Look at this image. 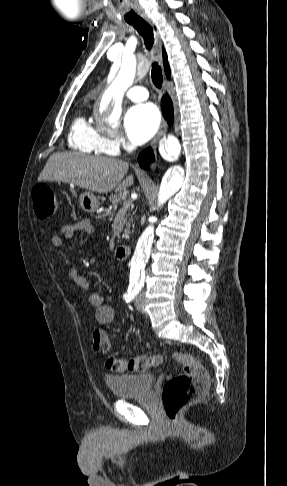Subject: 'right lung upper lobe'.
Here are the masks:
<instances>
[{
    "instance_id": "1",
    "label": "right lung upper lobe",
    "mask_w": 287,
    "mask_h": 486,
    "mask_svg": "<svg viewBox=\"0 0 287 486\" xmlns=\"http://www.w3.org/2000/svg\"><path fill=\"white\" fill-rule=\"evenodd\" d=\"M163 59H164L165 73H166L167 77L169 78L170 77V68H169V65H168V62H167V55H166V52L164 50H163Z\"/></svg>"
}]
</instances>
